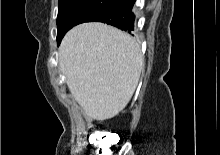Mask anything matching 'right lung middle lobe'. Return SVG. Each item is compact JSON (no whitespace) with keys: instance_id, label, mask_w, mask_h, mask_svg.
I'll return each instance as SVG.
<instances>
[{"instance_id":"right-lung-middle-lobe-1","label":"right lung middle lobe","mask_w":220,"mask_h":155,"mask_svg":"<svg viewBox=\"0 0 220 155\" xmlns=\"http://www.w3.org/2000/svg\"><path fill=\"white\" fill-rule=\"evenodd\" d=\"M122 0H59L57 16V42L58 44L65 33L93 16L110 9Z\"/></svg>"}]
</instances>
